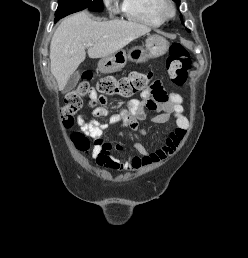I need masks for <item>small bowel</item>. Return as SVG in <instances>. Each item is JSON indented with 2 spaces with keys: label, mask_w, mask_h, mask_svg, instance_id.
Wrapping results in <instances>:
<instances>
[{
  "label": "small bowel",
  "mask_w": 248,
  "mask_h": 258,
  "mask_svg": "<svg viewBox=\"0 0 248 258\" xmlns=\"http://www.w3.org/2000/svg\"><path fill=\"white\" fill-rule=\"evenodd\" d=\"M88 96V107L92 109L95 117H104L109 114L108 109L105 107L107 100L100 97L94 88L89 90ZM181 103L182 97L177 93H172L168 97L165 95L162 99L158 97L152 99L150 92H144L141 100H132L130 102L129 110L124 115H113L110 118V124L122 122L124 125L138 130L140 134L144 135L145 131L138 129V123L145 118V108L160 111L159 114L152 118V121L157 124L167 123L173 115H176V125L170 131L164 145L154 151H149L140 142H135L134 147L137 155L128 161H121L112 154V147L119 150V144L112 146L101 141L100 137L106 125L98 121H88L85 113L81 114L78 123L84 132L95 138L96 144L93 148V157L99 165L116 170H139L167 160L179 148L188 129V120L183 115Z\"/></svg>",
  "instance_id": "1"
}]
</instances>
